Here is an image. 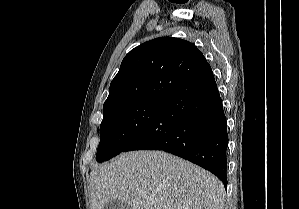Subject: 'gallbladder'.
Wrapping results in <instances>:
<instances>
[{
    "label": "gallbladder",
    "mask_w": 299,
    "mask_h": 209,
    "mask_svg": "<svg viewBox=\"0 0 299 209\" xmlns=\"http://www.w3.org/2000/svg\"><path fill=\"white\" fill-rule=\"evenodd\" d=\"M102 209H131L130 205L124 202L123 200H114L113 202L108 203Z\"/></svg>",
    "instance_id": "obj_1"
}]
</instances>
